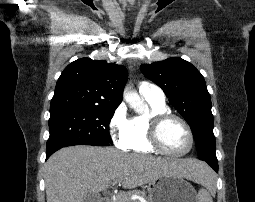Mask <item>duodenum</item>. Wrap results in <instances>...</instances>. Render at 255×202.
<instances>
[{"instance_id": "1", "label": "duodenum", "mask_w": 255, "mask_h": 202, "mask_svg": "<svg viewBox=\"0 0 255 202\" xmlns=\"http://www.w3.org/2000/svg\"><path fill=\"white\" fill-rule=\"evenodd\" d=\"M100 202H109L107 198H103Z\"/></svg>"}]
</instances>
